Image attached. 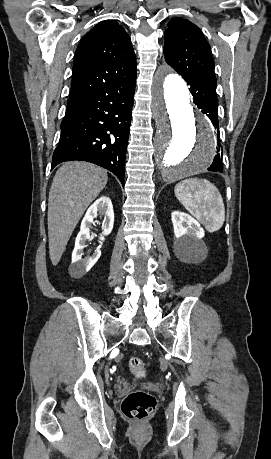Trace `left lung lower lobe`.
Masks as SVG:
<instances>
[{"instance_id": "obj_1", "label": "left lung lower lobe", "mask_w": 271, "mask_h": 459, "mask_svg": "<svg viewBox=\"0 0 271 459\" xmlns=\"http://www.w3.org/2000/svg\"><path fill=\"white\" fill-rule=\"evenodd\" d=\"M188 85L190 92L193 95L194 103L202 113L211 120L217 138L216 155L213 163L208 168L209 171L223 172L222 157L223 149L220 144V133L218 123V100L216 94V78L207 76L202 78H187L183 77Z\"/></svg>"}]
</instances>
